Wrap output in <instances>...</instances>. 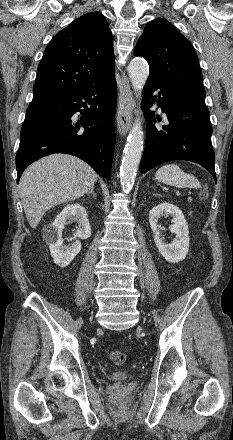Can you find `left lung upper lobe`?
<instances>
[{"label": "left lung upper lobe", "instance_id": "5c2ea615", "mask_svg": "<svg viewBox=\"0 0 233 440\" xmlns=\"http://www.w3.org/2000/svg\"><path fill=\"white\" fill-rule=\"evenodd\" d=\"M134 54L147 60L150 67L148 79L165 87L205 94L194 48L167 20L158 18L146 25Z\"/></svg>", "mask_w": 233, "mask_h": 440}]
</instances>
